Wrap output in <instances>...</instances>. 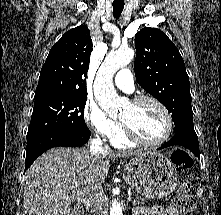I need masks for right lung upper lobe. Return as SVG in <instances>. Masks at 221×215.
<instances>
[{"mask_svg":"<svg viewBox=\"0 0 221 215\" xmlns=\"http://www.w3.org/2000/svg\"><path fill=\"white\" fill-rule=\"evenodd\" d=\"M93 43L85 25L66 32L51 48L41 69L35 101L57 95L86 93Z\"/></svg>","mask_w":221,"mask_h":215,"instance_id":"1","label":"right lung upper lobe"}]
</instances>
